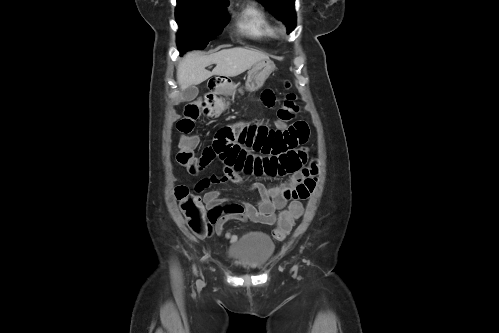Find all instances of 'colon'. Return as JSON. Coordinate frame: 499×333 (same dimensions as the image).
<instances>
[{
    "label": "colon",
    "instance_id": "colon-1",
    "mask_svg": "<svg viewBox=\"0 0 499 333\" xmlns=\"http://www.w3.org/2000/svg\"><path fill=\"white\" fill-rule=\"evenodd\" d=\"M289 86V84H287ZM299 111L298 97L290 92L286 95L283 103L277 110V120L280 125L295 118ZM199 115L197 106H191L186 110V114L178 123L177 128L183 135L180 148L176 155L177 162L186 167L190 174L200 172L199 160L194 156L193 149L197 143L195 136H192L195 120ZM175 196L180 203V208L186 218L190 230L197 236H206L212 230V222L201 202V199L190 192L185 186H178L175 189ZM303 213V205L298 200L289 203L286 209L282 210L278 217V225L273 230L272 235L277 240H282L292 229L296 220Z\"/></svg>",
    "mask_w": 499,
    "mask_h": 333
}]
</instances>
